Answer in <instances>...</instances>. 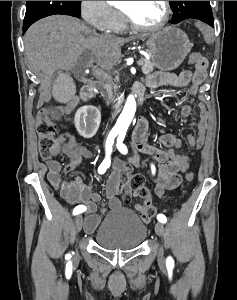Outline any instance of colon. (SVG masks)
Returning <instances> with one entry per match:
<instances>
[{"instance_id":"obj_1","label":"colon","mask_w":237,"mask_h":300,"mask_svg":"<svg viewBox=\"0 0 237 300\" xmlns=\"http://www.w3.org/2000/svg\"><path fill=\"white\" fill-rule=\"evenodd\" d=\"M199 30L203 33L206 41L210 44L214 42V36L208 25L199 22L197 23ZM190 63L193 65H204L207 60L201 54H193L190 57ZM36 130L39 137V153L44 160H52L59 156L63 150L64 141L60 137L49 120L48 110L41 109L37 114ZM81 159H73L66 170L72 171L76 168ZM194 174L189 172L185 175L187 181H192ZM126 184L130 191L144 200V213L148 218H153L156 214V209L151 203V193L145 184V179L141 174L130 173L126 174Z\"/></svg>"}]
</instances>
